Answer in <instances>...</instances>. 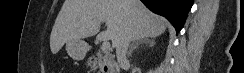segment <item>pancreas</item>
<instances>
[{
	"mask_svg": "<svg viewBox=\"0 0 244 73\" xmlns=\"http://www.w3.org/2000/svg\"><path fill=\"white\" fill-rule=\"evenodd\" d=\"M93 59V61H92ZM104 62L109 63L110 65H112L114 68L117 67L113 56L110 53H104L103 51L99 50L95 55H93L92 57H90V61L88 62V65L90 66H95L97 64L102 65Z\"/></svg>",
	"mask_w": 244,
	"mask_h": 73,
	"instance_id": "obj_1",
	"label": "pancreas"
}]
</instances>
